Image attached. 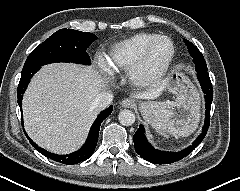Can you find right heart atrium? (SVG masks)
<instances>
[{
    "instance_id": "1",
    "label": "right heart atrium",
    "mask_w": 240,
    "mask_h": 191,
    "mask_svg": "<svg viewBox=\"0 0 240 191\" xmlns=\"http://www.w3.org/2000/svg\"><path fill=\"white\" fill-rule=\"evenodd\" d=\"M97 64L104 72L111 74L112 70L102 56L97 57Z\"/></svg>"
}]
</instances>
